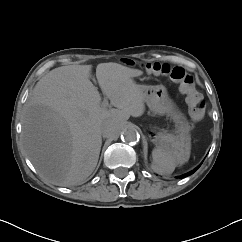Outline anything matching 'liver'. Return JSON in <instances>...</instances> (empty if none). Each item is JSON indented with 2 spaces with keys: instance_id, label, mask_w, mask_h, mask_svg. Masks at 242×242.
Wrapping results in <instances>:
<instances>
[{
  "instance_id": "1",
  "label": "liver",
  "mask_w": 242,
  "mask_h": 242,
  "mask_svg": "<svg viewBox=\"0 0 242 242\" xmlns=\"http://www.w3.org/2000/svg\"><path fill=\"white\" fill-rule=\"evenodd\" d=\"M92 65L55 68L35 85L22 116L23 144L40 176L59 186L80 185L95 169L102 139L100 127L114 118L124 127L130 116L144 114L143 72L118 63H100L96 78L116 107L101 106L90 81Z\"/></svg>"
}]
</instances>
